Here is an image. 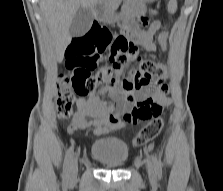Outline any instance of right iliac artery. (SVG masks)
<instances>
[{
  "label": "right iliac artery",
  "instance_id": "obj_1",
  "mask_svg": "<svg viewBox=\"0 0 223 191\" xmlns=\"http://www.w3.org/2000/svg\"><path fill=\"white\" fill-rule=\"evenodd\" d=\"M73 155H74V148L70 147L66 153V157L64 160V166H63V175L65 178L69 177L70 174V168H71V163L73 160Z\"/></svg>",
  "mask_w": 223,
  "mask_h": 191
}]
</instances>
